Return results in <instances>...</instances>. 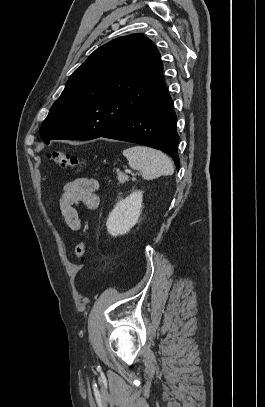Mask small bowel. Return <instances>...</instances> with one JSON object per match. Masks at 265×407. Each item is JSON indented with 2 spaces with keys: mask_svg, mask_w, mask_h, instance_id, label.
<instances>
[{
  "mask_svg": "<svg viewBox=\"0 0 265 407\" xmlns=\"http://www.w3.org/2000/svg\"><path fill=\"white\" fill-rule=\"evenodd\" d=\"M98 188V181L88 177H79L64 185L58 210L67 228L73 231L81 230V219L76 206L82 205L88 210L96 209L99 205Z\"/></svg>",
  "mask_w": 265,
  "mask_h": 407,
  "instance_id": "obj_1",
  "label": "small bowel"
}]
</instances>
